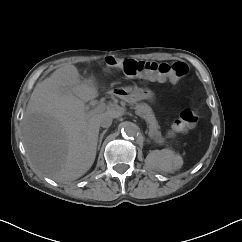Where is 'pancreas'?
Segmentation results:
<instances>
[{"label":"pancreas","instance_id":"pancreas-1","mask_svg":"<svg viewBox=\"0 0 242 242\" xmlns=\"http://www.w3.org/2000/svg\"><path fill=\"white\" fill-rule=\"evenodd\" d=\"M134 108L136 109V114L147 121L149 128V136L151 138L161 139V132L158 130L159 125L157 123V120L155 118V115L153 114L151 107L148 106L146 103H143L136 104Z\"/></svg>","mask_w":242,"mask_h":242}]
</instances>
